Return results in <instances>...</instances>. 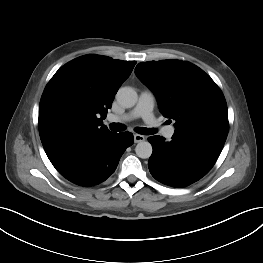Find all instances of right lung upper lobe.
I'll return each mask as SVG.
<instances>
[{
    "label": "right lung upper lobe",
    "instance_id": "right-lung-upper-lobe-1",
    "mask_svg": "<svg viewBox=\"0 0 263 263\" xmlns=\"http://www.w3.org/2000/svg\"><path fill=\"white\" fill-rule=\"evenodd\" d=\"M135 64L85 55L62 66L48 82L39 105L45 152L77 137L110 132L102 120Z\"/></svg>",
    "mask_w": 263,
    "mask_h": 263
}]
</instances>
